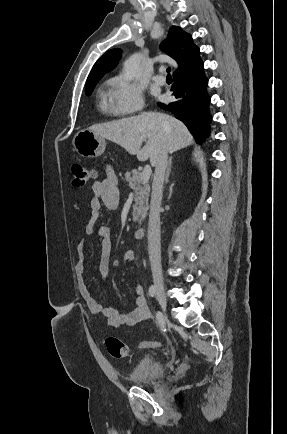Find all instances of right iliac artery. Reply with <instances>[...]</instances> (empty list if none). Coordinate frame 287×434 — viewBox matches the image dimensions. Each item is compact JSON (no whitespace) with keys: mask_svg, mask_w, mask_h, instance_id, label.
<instances>
[{"mask_svg":"<svg viewBox=\"0 0 287 434\" xmlns=\"http://www.w3.org/2000/svg\"><path fill=\"white\" fill-rule=\"evenodd\" d=\"M154 295H155V286H154V285H151V286L149 287V296H150V297H154Z\"/></svg>","mask_w":287,"mask_h":434,"instance_id":"obj_1","label":"right iliac artery"}]
</instances>
